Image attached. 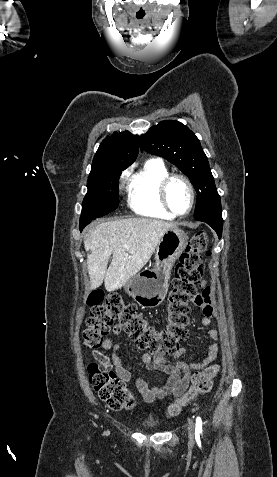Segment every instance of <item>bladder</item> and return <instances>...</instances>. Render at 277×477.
<instances>
[{
  "label": "bladder",
  "instance_id": "31cf9c89",
  "mask_svg": "<svg viewBox=\"0 0 277 477\" xmlns=\"http://www.w3.org/2000/svg\"><path fill=\"white\" fill-rule=\"evenodd\" d=\"M147 425L150 426V427H155V426L158 425V423H157L156 421H153V420H152V421H149V422L147 423Z\"/></svg>",
  "mask_w": 277,
  "mask_h": 477
}]
</instances>
